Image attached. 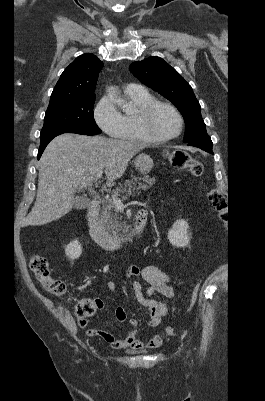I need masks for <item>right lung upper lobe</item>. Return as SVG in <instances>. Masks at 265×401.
<instances>
[{
    "mask_svg": "<svg viewBox=\"0 0 265 401\" xmlns=\"http://www.w3.org/2000/svg\"><path fill=\"white\" fill-rule=\"evenodd\" d=\"M102 66V61L93 54L86 53L77 57L61 74L51 94L49 106L73 98L95 95Z\"/></svg>",
    "mask_w": 265,
    "mask_h": 401,
    "instance_id": "obj_1",
    "label": "right lung upper lobe"
}]
</instances>
